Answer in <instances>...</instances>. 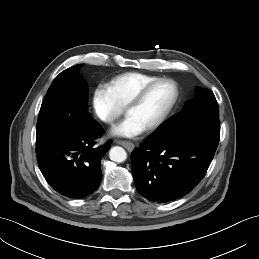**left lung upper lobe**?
Returning a JSON list of instances; mask_svg holds the SVG:
<instances>
[{
	"label": "left lung upper lobe",
	"instance_id": "1",
	"mask_svg": "<svg viewBox=\"0 0 259 259\" xmlns=\"http://www.w3.org/2000/svg\"><path fill=\"white\" fill-rule=\"evenodd\" d=\"M198 90L199 95L194 101L189 102L182 112L175 114L159 127L151 135L152 138L166 139L193 124L220 125L219 109L214 94L208 89L199 88Z\"/></svg>",
	"mask_w": 259,
	"mask_h": 259
}]
</instances>
